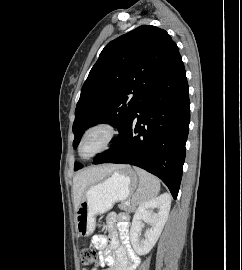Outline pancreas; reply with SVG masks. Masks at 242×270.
Here are the masks:
<instances>
[{
	"label": "pancreas",
	"mask_w": 242,
	"mask_h": 270,
	"mask_svg": "<svg viewBox=\"0 0 242 270\" xmlns=\"http://www.w3.org/2000/svg\"><path fill=\"white\" fill-rule=\"evenodd\" d=\"M135 205H136L135 203H133L131 205L130 204L123 203V204L120 205V208L123 209L126 212H134L136 210V206Z\"/></svg>",
	"instance_id": "cf45deb5"
}]
</instances>
